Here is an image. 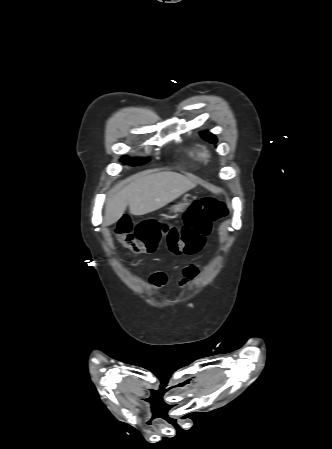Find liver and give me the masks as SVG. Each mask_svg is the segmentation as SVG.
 <instances>
[{"label":"liver","mask_w":332,"mask_h":449,"mask_svg":"<svg viewBox=\"0 0 332 449\" xmlns=\"http://www.w3.org/2000/svg\"><path fill=\"white\" fill-rule=\"evenodd\" d=\"M195 186L192 180L170 171L142 176L108 198L104 225L116 223L128 205L132 215H145L162 208Z\"/></svg>","instance_id":"obj_1"}]
</instances>
